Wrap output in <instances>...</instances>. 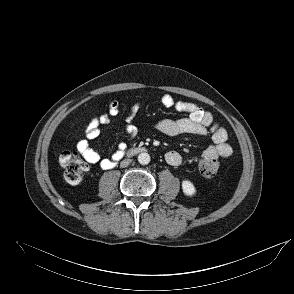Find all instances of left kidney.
Masks as SVG:
<instances>
[{
  "instance_id": "5707ae66",
  "label": "left kidney",
  "mask_w": 294,
  "mask_h": 294,
  "mask_svg": "<svg viewBox=\"0 0 294 294\" xmlns=\"http://www.w3.org/2000/svg\"><path fill=\"white\" fill-rule=\"evenodd\" d=\"M182 190L187 196H193L196 194V188L189 180L182 181Z\"/></svg>"
}]
</instances>
